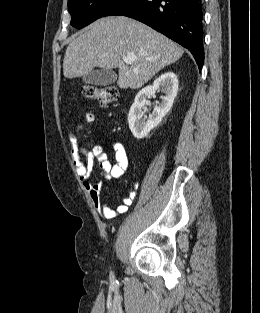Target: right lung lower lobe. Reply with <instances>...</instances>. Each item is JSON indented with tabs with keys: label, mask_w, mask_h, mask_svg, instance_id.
Here are the masks:
<instances>
[{
	"label": "right lung lower lobe",
	"mask_w": 260,
	"mask_h": 313,
	"mask_svg": "<svg viewBox=\"0 0 260 313\" xmlns=\"http://www.w3.org/2000/svg\"><path fill=\"white\" fill-rule=\"evenodd\" d=\"M139 20L187 48L199 70L204 62L201 0H120L103 17Z\"/></svg>",
	"instance_id": "right-lung-lower-lobe-1"
}]
</instances>
